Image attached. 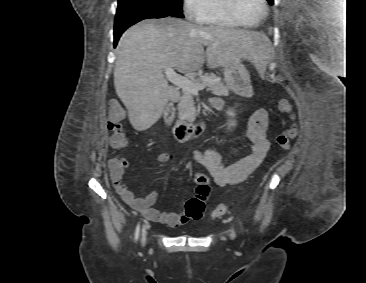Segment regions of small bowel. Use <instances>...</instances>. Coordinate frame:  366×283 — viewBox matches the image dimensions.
I'll return each mask as SVG.
<instances>
[{"instance_id":"small-bowel-1","label":"small bowel","mask_w":366,"mask_h":283,"mask_svg":"<svg viewBox=\"0 0 366 283\" xmlns=\"http://www.w3.org/2000/svg\"><path fill=\"white\" fill-rule=\"evenodd\" d=\"M211 105L217 110L224 108V103L219 98H212ZM268 118V111L264 108L255 110L249 117L246 135L252 143V148L251 152L242 159L229 163L222 153L214 149H197L192 153L194 161L206 168L218 186H231L244 181L258 168L269 150ZM120 158L113 157L108 161L109 173L117 193L129 206L147 219L170 227H178L187 221L182 214L163 212L153 208L152 205L157 199L156 191H151L143 198L135 197L123 182L127 165H122ZM172 159L171 153H161L157 157L161 163L170 162Z\"/></svg>"}]
</instances>
